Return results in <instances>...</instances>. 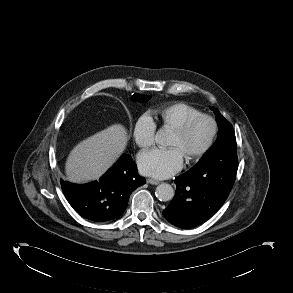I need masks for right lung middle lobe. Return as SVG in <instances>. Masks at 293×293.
<instances>
[{"instance_id":"right-lung-middle-lobe-1","label":"right lung middle lobe","mask_w":293,"mask_h":293,"mask_svg":"<svg viewBox=\"0 0 293 293\" xmlns=\"http://www.w3.org/2000/svg\"><path fill=\"white\" fill-rule=\"evenodd\" d=\"M149 98H150V96H148V95L134 94L131 97V100H133L135 102H146Z\"/></svg>"}]
</instances>
